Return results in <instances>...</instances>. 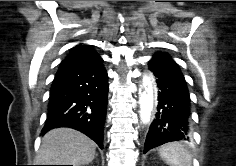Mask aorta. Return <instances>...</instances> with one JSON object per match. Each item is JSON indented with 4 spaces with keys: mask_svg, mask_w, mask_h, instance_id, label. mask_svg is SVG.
Here are the masks:
<instances>
[{
    "mask_svg": "<svg viewBox=\"0 0 236 166\" xmlns=\"http://www.w3.org/2000/svg\"><path fill=\"white\" fill-rule=\"evenodd\" d=\"M143 91L139 92V104H140V118L143 123L150 121L151 112L153 109V86L151 79L148 76L143 78Z\"/></svg>",
    "mask_w": 236,
    "mask_h": 166,
    "instance_id": "762f6f07",
    "label": "aorta"
}]
</instances>
